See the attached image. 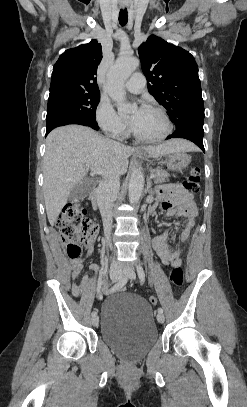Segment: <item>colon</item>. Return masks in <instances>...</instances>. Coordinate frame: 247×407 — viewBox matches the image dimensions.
Masks as SVG:
<instances>
[{"mask_svg":"<svg viewBox=\"0 0 247 407\" xmlns=\"http://www.w3.org/2000/svg\"><path fill=\"white\" fill-rule=\"evenodd\" d=\"M183 187L190 193L200 190V169L196 166L190 168ZM56 226L70 258L77 259L82 253V246L90 244L97 235V225L86 218V209L82 201H70L61 211L56 221ZM170 281L175 286L183 284V271L180 265L172 266ZM150 303L155 305L157 298L150 297Z\"/></svg>","mask_w":247,"mask_h":407,"instance_id":"colon-1","label":"colon"}]
</instances>
